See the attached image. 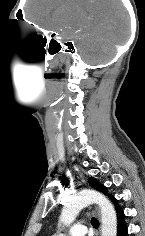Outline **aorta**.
Returning <instances> with one entry per match:
<instances>
[{
  "mask_svg": "<svg viewBox=\"0 0 145 236\" xmlns=\"http://www.w3.org/2000/svg\"><path fill=\"white\" fill-rule=\"evenodd\" d=\"M93 203L98 204L101 210V236H116L117 217L115 209L103 194L93 190H84L70 197L62 209L60 222L69 226L84 207Z\"/></svg>",
  "mask_w": 145,
  "mask_h": 236,
  "instance_id": "762f6f07",
  "label": "aorta"
}]
</instances>
